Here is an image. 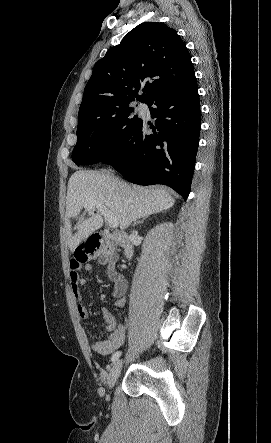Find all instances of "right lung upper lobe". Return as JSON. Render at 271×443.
I'll return each instance as SVG.
<instances>
[{"label": "right lung upper lobe", "instance_id": "obj_1", "mask_svg": "<svg viewBox=\"0 0 271 443\" xmlns=\"http://www.w3.org/2000/svg\"><path fill=\"white\" fill-rule=\"evenodd\" d=\"M195 79L191 56L176 31L163 23H142L96 62L78 119L101 117L135 98L148 103Z\"/></svg>", "mask_w": 271, "mask_h": 443}]
</instances>
